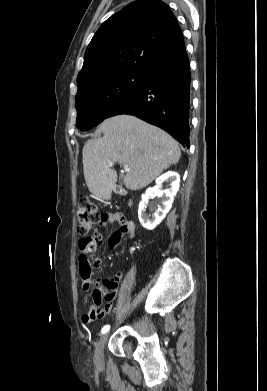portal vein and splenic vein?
Returning <instances> with one entry per match:
<instances>
[{"instance_id": "18ae733b", "label": "portal vein and splenic vein", "mask_w": 267, "mask_h": 391, "mask_svg": "<svg viewBox=\"0 0 267 391\" xmlns=\"http://www.w3.org/2000/svg\"><path fill=\"white\" fill-rule=\"evenodd\" d=\"M113 164H114V163H113L112 161H108V165H109V166H113ZM124 170H125V171H130L129 166L125 164V165H124Z\"/></svg>"}]
</instances>
